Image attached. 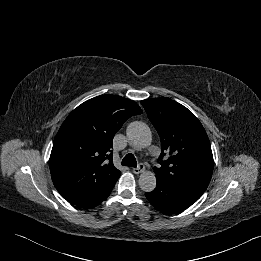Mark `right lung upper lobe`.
<instances>
[{
  "mask_svg": "<svg viewBox=\"0 0 261 261\" xmlns=\"http://www.w3.org/2000/svg\"><path fill=\"white\" fill-rule=\"evenodd\" d=\"M142 114L139 105L100 95L79 105L61 125L50 155V172L60 195L72 204L90 200L120 176L113 165L112 141L123 123Z\"/></svg>",
  "mask_w": 261,
  "mask_h": 261,
  "instance_id": "1",
  "label": "right lung upper lobe"
}]
</instances>
